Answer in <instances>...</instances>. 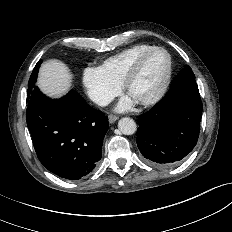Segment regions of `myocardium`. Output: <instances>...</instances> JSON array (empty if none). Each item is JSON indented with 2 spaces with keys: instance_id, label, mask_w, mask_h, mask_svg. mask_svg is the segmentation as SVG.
Instances as JSON below:
<instances>
[{
  "instance_id": "myocardium-1",
  "label": "myocardium",
  "mask_w": 232,
  "mask_h": 232,
  "mask_svg": "<svg viewBox=\"0 0 232 232\" xmlns=\"http://www.w3.org/2000/svg\"><path fill=\"white\" fill-rule=\"evenodd\" d=\"M163 52L167 56V71L165 78L163 80V83L161 84L160 88L158 91L151 97L139 101L138 103L143 105V106H149L152 104L157 103L160 101L165 93L168 90V87L170 85L171 79H172V74H173V61L170 53L163 47H152L143 53H141L131 64L130 68L128 69L123 81H122V88L124 91L128 92V88L131 84V82L134 80V78L137 76L144 60L152 53L154 52Z\"/></svg>"
}]
</instances>
